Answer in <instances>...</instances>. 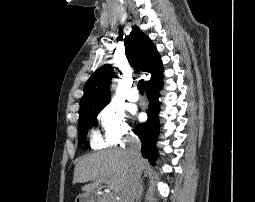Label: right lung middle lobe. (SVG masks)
<instances>
[{
  "instance_id": "obj_1",
  "label": "right lung middle lobe",
  "mask_w": 255,
  "mask_h": 202,
  "mask_svg": "<svg viewBox=\"0 0 255 202\" xmlns=\"http://www.w3.org/2000/svg\"><path fill=\"white\" fill-rule=\"evenodd\" d=\"M101 110L102 109H91L79 113L78 128L82 140L86 139L88 129L92 126L97 114Z\"/></svg>"
}]
</instances>
